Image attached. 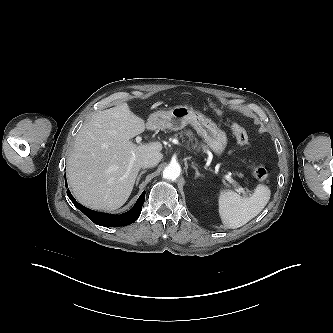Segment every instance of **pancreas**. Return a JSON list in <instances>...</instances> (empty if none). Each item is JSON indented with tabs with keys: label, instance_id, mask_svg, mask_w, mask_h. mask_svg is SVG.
Returning a JSON list of instances; mask_svg holds the SVG:
<instances>
[{
	"label": "pancreas",
	"instance_id": "obj_1",
	"mask_svg": "<svg viewBox=\"0 0 333 333\" xmlns=\"http://www.w3.org/2000/svg\"><path fill=\"white\" fill-rule=\"evenodd\" d=\"M178 135L181 138H184V136H187L194 148H198V149H202V150H206V148H207L204 144L199 143V141L195 138V136L191 130H184L183 132L178 133L175 136H178ZM193 141H195V142L193 143Z\"/></svg>",
	"mask_w": 333,
	"mask_h": 333
}]
</instances>
